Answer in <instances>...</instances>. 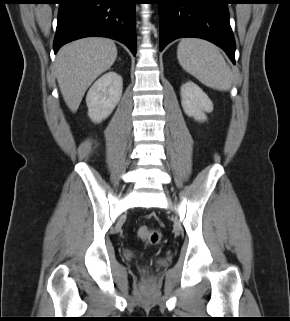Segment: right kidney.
I'll list each match as a JSON object with an SVG mask.
<instances>
[{
  "label": "right kidney",
  "mask_w": 290,
  "mask_h": 321,
  "mask_svg": "<svg viewBox=\"0 0 290 321\" xmlns=\"http://www.w3.org/2000/svg\"><path fill=\"white\" fill-rule=\"evenodd\" d=\"M122 77L114 71L102 75L89 89L86 96L88 116L95 123L106 119L122 96Z\"/></svg>",
  "instance_id": "right-kidney-1"
}]
</instances>
